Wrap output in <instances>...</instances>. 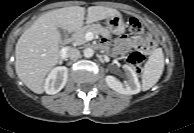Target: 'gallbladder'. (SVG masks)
I'll list each match as a JSON object with an SVG mask.
<instances>
[{"label": "gallbladder", "instance_id": "obj_1", "mask_svg": "<svg viewBox=\"0 0 194 133\" xmlns=\"http://www.w3.org/2000/svg\"><path fill=\"white\" fill-rule=\"evenodd\" d=\"M58 31L60 33L61 38L63 39L65 36V30H63L62 28H58Z\"/></svg>", "mask_w": 194, "mask_h": 133}]
</instances>
